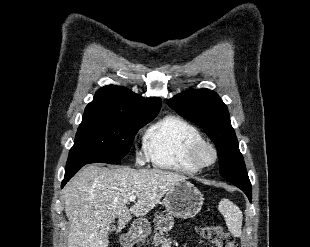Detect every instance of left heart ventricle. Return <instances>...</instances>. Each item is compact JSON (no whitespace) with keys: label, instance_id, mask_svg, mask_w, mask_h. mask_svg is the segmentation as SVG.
I'll return each mask as SVG.
<instances>
[{"label":"left heart ventricle","instance_id":"left-heart-ventricle-1","mask_svg":"<svg viewBox=\"0 0 310 247\" xmlns=\"http://www.w3.org/2000/svg\"><path fill=\"white\" fill-rule=\"evenodd\" d=\"M199 159L202 163H210L213 159L211 150L208 148H203L199 154Z\"/></svg>","mask_w":310,"mask_h":247}]
</instances>
